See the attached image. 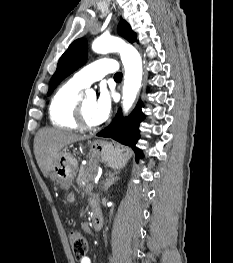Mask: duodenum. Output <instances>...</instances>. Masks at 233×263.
Masks as SVG:
<instances>
[{"label": "duodenum", "mask_w": 233, "mask_h": 263, "mask_svg": "<svg viewBox=\"0 0 233 263\" xmlns=\"http://www.w3.org/2000/svg\"><path fill=\"white\" fill-rule=\"evenodd\" d=\"M92 224L96 231H100L103 225V218L98 205L93 202L92 204Z\"/></svg>", "instance_id": "duodenum-1"}]
</instances>
